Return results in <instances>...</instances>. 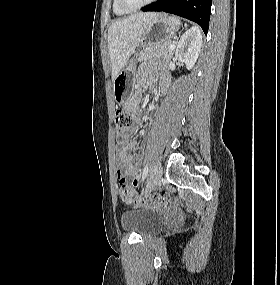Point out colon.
I'll list each match as a JSON object with an SVG mask.
<instances>
[{"label":"colon","mask_w":280,"mask_h":285,"mask_svg":"<svg viewBox=\"0 0 280 285\" xmlns=\"http://www.w3.org/2000/svg\"><path fill=\"white\" fill-rule=\"evenodd\" d=\"M132 124L133 117L129 113L121 109L116 110L114 117V129L118 136H121L124 131H126L129 127L132 126ZM120 196L121 199L127 203L136 202L138 199V196L136 195L134 189L126 183L121 184ZM145 201L157 205H168L172 201V196L165 193H161L148 196L145 198Z\"/></svg>","instance_id":"colon-1"}]
</instances>
